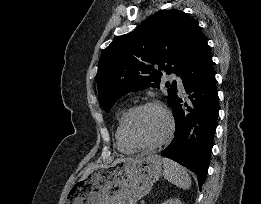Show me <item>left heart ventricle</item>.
<instances>
[{
    "instance_id": "b2bd125f",
    "label": "left heart ventricle",
    "mask_w": 261,
    "mask_h": 204,
    "mask_svg": "<svg viewBox=\"0 0 261 204\" xmlns=\"http://www.w3.org/2000/svg\"><path fill=\"white\" fill-rule=\"evenodd\" d=\"M163 115L154 108L140 110L128 122L130 138L138 144H151L159 140L165 132Z\"/></svg>"
}]
</instances>
